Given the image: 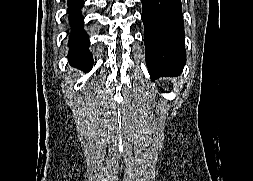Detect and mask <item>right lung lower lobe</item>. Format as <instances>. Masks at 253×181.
<instances>
[{"label":"right lung lower lobe","instance_id":"1","mask_svg":"<svg viewBox=\"0 0 253 181\" xmlns=\"http://www.w3.org/2000/svg\"><path fill=\"white\" fill-rule=\"evenodd\" d=\"M68 1L70 10L69 20L72 24V32L69 39L70 64L88 72L93 66V58L89 51L90 41L88 40V35L83 30V17L80 14L84 1Z\"/></svg>","mask_w":253,"mask_h":181}]
</instances>
